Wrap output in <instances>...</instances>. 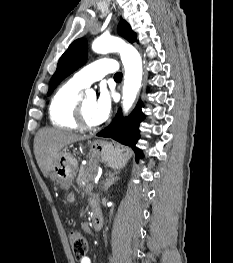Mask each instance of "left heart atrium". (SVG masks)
<instances>
[{
  "instance_id": "obj_1",
  "label": "left heart atrium",
  "mask_w": 233,
  "mask_h": 263,
  "mask_svg": "<svg viewBox=\"0 0 233 263\" xmlns=\"http://www.w3.org/2000/svg\"><path fill=\"white\" fill-rule=\"evenodd\" d=\"M112 108V97L110 92L102 87L98 98L95 100L91 119L94 125L103 123L109 116Z\"/></svg>"
}]
</instances>
